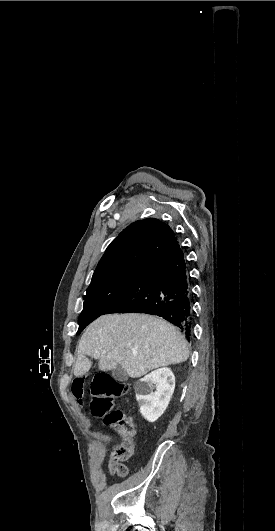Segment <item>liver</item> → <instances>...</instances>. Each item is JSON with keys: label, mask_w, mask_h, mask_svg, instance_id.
Masks as SVG:
<instances>
[{"label": "liver", "mask_w": 275, "mask_h": 531, "mask_svg": "<svg viewBox=\"0 0 275 531\" xmlns=\"http://www.w3.org/2000/svg\"><path fill=\"white\" fill-rule=\"evenodd\" d=\"M136 353V355H133ZM92 359L100 371L117 365L132 379L143 377L158 367L184 363L189 357L188 343L179 329L152 315H103L83 333L74 367L75 377L86 375Z\"/></svg>", "instance_id": "1"}]
</instances>
